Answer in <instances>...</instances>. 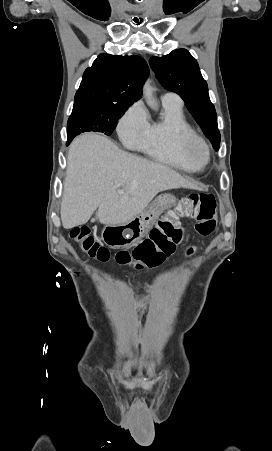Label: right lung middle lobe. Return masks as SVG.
<instances>
[{"mask_svg": "<svg viewBox=\"0 0 272 451\" xmlns=\"http://www.w3.org/2000/svg\"><path fill=\"white\" fill-rule=\"evenodd\" d=\"M128 107L126 105L100 103L74 104L67 124V143L82 132L97 131L111 135L118 119Z\"/></svg>", "mask_w": 272, "mask_h": 451, "instance_id": "dd1d6c3e", "label": "right lung middle lobe"}]
</instances>
